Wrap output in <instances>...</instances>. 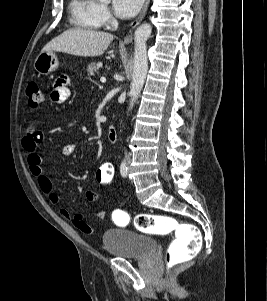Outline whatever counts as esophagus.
<instances>
[{"label":"esophagus","mask_w":267,"mask_h":301,"mask_svg":"<svg viewBox=\"0 0 267 301\" xmlns=\"http://www.w3.org/2000/svg\"><path fill=\"white\" fill-rule=\"evenodd\" d=\"M149 2H150V0H146V1H145V4H144V6H143V9H142L140 15H139V16L137 17V19L134 20V21L132 22V24H131L132 29H134L136 26H138L139 23H140V22L142 21V19L144 18L145 14H146V12H147V8H148V5H149ZM131 41H132V34H129V35H127V36L125 37L124 43H125V44H129Z\"/></svg>","instance_id":"34e87169"}]
</instances>
